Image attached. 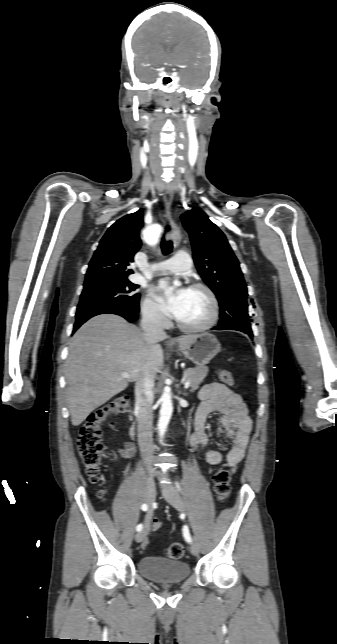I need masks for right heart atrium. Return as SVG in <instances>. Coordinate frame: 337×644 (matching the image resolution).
Listing matches in <instances>:
<instances>
[{
  "label": "right heart atrium",
  "instance_id": "right-heart-atrium-1",
  "mask_svg": "<svg viewBox=\"0 0 337 644\" xmlns=\"http://www.w3.org/2000/svg\"><path fill=\"white\" fill-rule=\"evenodd\" d=\"M142 314L144 319L156 326H163L167 318L159 305L155 302L152 294H148L142 304Z\"/></svg>",
  "mask_w": 337,
  "mask_h": 644
}]
</instances>
